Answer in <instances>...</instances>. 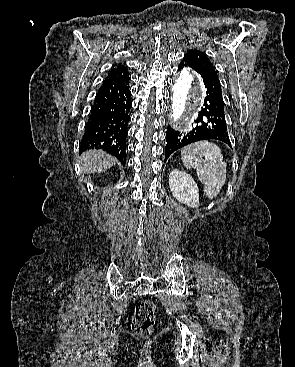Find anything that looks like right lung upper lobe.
<instances>
[{"label":"right lung upper lobe","instance_id":"obj_1","mask_svg":"<svg viewBox=\"0 0 295 367\" xmlns=\"http://www.w3.org/2000/svg\"><path fill=\"white\" fill-rule=\"evenodd\" d=\"M129 75L125 66L119 64L116 68L112 69V71L105 78V81H118L128 79Z\"/></svg>","mask_w":295,"mask_h":367}]
</instances>
